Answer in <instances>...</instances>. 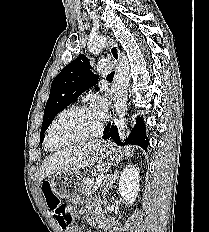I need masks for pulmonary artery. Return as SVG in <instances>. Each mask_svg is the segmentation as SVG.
I'll return each instance as SVG.
<instances>
[{
    "instance_id": "e3ab8cb5",
    "label": "pulmonary artery",
    "mask_w": 209,
    "mask_h": 232,
    "mask_svg": "<svg viewBox=\"0 0 209 232\" xmlns=\"http://www.w3.org/2000/svg\"><path fill=\"white\" fill-rule=\"evenodd\" d=\"M112 69L110 60H101L97 65V72L101 75H107Z\"/></svg>"
}]
</instances>
